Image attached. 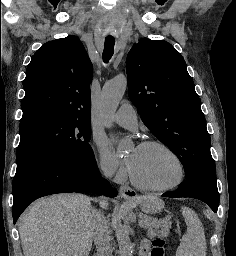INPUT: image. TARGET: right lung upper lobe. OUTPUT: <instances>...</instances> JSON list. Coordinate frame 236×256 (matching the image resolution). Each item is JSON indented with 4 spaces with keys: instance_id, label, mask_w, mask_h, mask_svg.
I'll list each match as a JSON object with an SVG mask.
<instances>
[{
    "instance_id": "right-lung-upper-lobe-1",
    "label": "right lung upper lobe",
    "mask_w": 236,
    "mask_h": 256,
    "mask_svg": "<svg viewBox=\"0 0 236 256\" xmlns=\"http://www.w3.org/2000/svg\"><path fill=\"white\" fill-rule=\"evenodd\" d=\"M92 64L76 36L45 43L33 55L23 86L22 119L54 114L91 119Z\"/></svg>"
}]
</instances>
